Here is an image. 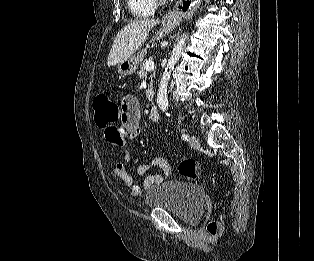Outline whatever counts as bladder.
Listing matches in <instances>:
<instances>
[{
    "instance_id": "bladder-1",
    "label": "bladder",
    "mask_w": 314,
    "mask_h": 261,
    "mask_svg": "<svg viewBox=\"0 0 314 261\" xmlns=\"http://www.w3.org/2000/svg\"><path fill=\"white\" fill-rule=\"evenodd\" d=\"M150 208L165 209L181 220L193 223L200 219L205 196L195 183L183 181H164L151 188L146 196Z\"/></svg>"
}]
</instances>
